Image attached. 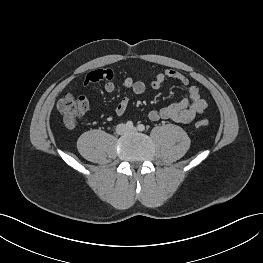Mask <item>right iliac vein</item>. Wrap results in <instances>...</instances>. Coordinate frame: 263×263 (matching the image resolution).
<instances>
[{
	"mask_svg": "<svg viewBox=\"0 0 263 263\" xmlns=\"http://www.w3.org/2000/svg\"><path fill=\"white\" fill-rule=\"evenodd\" d=\"M118 131H119L120 133H124V132L127 131V128H126L124 125H122V126L119 127Z\"/></svg>",
	"mask_w": 263,
	"mask_h": 263,
	"instance_id": "right-iliac-vein-1",
	"label": "right iliac vein"
}]
</instances>
